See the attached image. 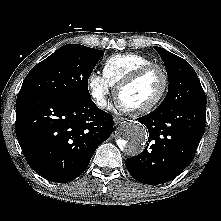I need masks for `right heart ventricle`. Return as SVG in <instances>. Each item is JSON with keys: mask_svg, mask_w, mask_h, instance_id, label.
<instances>
[{"mask_svg": "<svg viewBox=\"0 0 221 221\" xmlns=\"http://www.w3.org/2000/svg\"><path fill=\"white\" fill-rule=\"evenodd\" d=\"M153 63L154 61L152 59L141 54H116L105 61L103 76L112 87H115L120 81L140 67Z\"/></svg>", "mask_w": 221, "mask_h": 221, "instance_id": "1", "label": "right heart ventricle"}]
</instances>
